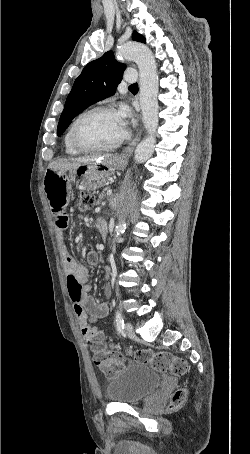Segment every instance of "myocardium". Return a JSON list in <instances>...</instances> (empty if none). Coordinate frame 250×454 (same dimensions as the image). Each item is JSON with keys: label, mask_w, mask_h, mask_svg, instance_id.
Instances as JSON below:
<instances>
[{"label": "myocardium", "mask_w": 250, "mask_h": 454, "mask_svg": "<svg viewBox=\"0 0 250 454\" xmlns=\"http://www.w3.org/2000/svg\"><path fill=\"white\" fill-rule=\"evenodd\" d=\"M102 111H105V112H116V110L112 106L98 105V106L92 107V108L84 111L74 121V123H73V125L71 127V130H70V142L80 152H88V153H90V152L111 151L113 149L118 148L125 141H127L129 139L130 133L125 128L124 134L119 139H117L116 141H114L113 143H111L109 145H105V146H86V145H83L82 143L79 142V140L77 139V129H78V126L80 125V123L86 117L90 116L91 114H94L96 112H102Z\"/></svg>", "instance_id": "obj_1"}]
</instances>
